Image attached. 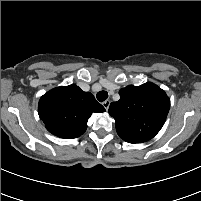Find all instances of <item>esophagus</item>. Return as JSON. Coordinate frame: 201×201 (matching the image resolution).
I'll return each instance as SVG.
<instances>
[{
	"instance_id": "1",
	"label": "esophagus",
	"mask_w": 201,
	"mask_h": 201,
	"mask_svg": "<svg viewBox=\"0 0 201 201\" xmlns=\"http://www.w3.org/2000/svg\"><path fill=\"white\" fill-rule=\"evenodd\" d=\"M103 107L108 110L109 109V106H110V100H105L103 103H102Z\"/></svg>"
}]
</instances>
